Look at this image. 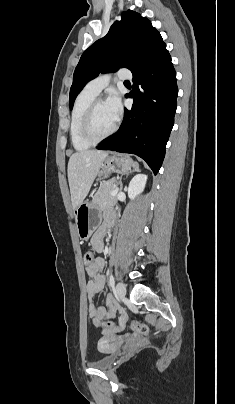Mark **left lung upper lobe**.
Here are the masks:
<instances>
[{
	"label": "left lung upper lobe",
	"instance_id": "obj_1",
	"mask_svg": "<svg viewBox=\"0 0 235 404\" xmlns=\"http://www.w3.org/2000/svg\"><path fill=\"white\" fill-rule=\"evenodd\" d=\"M164 45L160 33L147 18L131 10L124 11L107 35L81 56L70 89V109L85 84L100 73L115 72L123 67L134 72Z\"/></svg>",
	"mask_w": 235,
	"mask_h": 404
}]
</instances>
